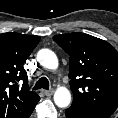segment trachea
Instances as JSON below:
<instances>
[{"label":"trachea","instance_id":"obj_1","mask_svg":"<svg viewBox=\"0 0 118 118\" xmlns=\"http://www.w3.org/2000/svg\"><path fill=\"white\" fill-rule=\"evenodd\" d=\"M46 89V90H49V81L46 77H41L35 84L34 86V90H37V89Z\"/></svg>","mask_w":118,"mask_h":118}]
</instances>
